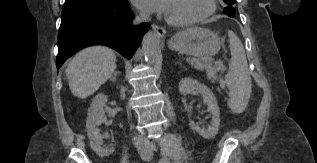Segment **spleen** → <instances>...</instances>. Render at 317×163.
Masks as SVG:
<instances>
[{
  "label": "spleen",
  "mask_w": 317,
  "mask_h": 163,
  "mask_svg": "<svg viewBox=\"0 0 317 163\" xmlns=\"http://www.w3.org/2000/svg\"><path fill=\"white\" fill-rule=\"evenodd\" d=\"M231 60L225 83L229 89L228 106L234 113L245 110L251 94L249 74L244 47L237 35L228 31Z\"/></svg>",
  "instance_id": "1"
}]
</instances>
